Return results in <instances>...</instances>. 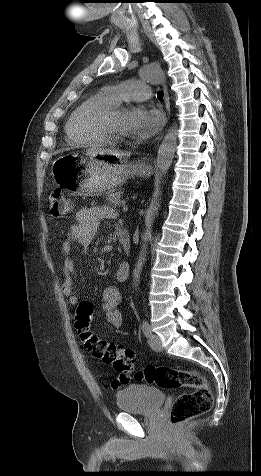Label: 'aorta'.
I'll use <instances>...</instances> for the list:
<instances>
[{
	"mask_svg": "<svg viewBox=\"0 0 261 476\" xmlns=\"http://www.w3.org/2000/svg\"><path fill=\"white\" fill-rule=\"evenodd\" d=\"M141 77L145 81L152 84H161L165 80L163 71L155 65L145 66L141 70ZM177 135L178 132L176 126H172L165 134L164 139L159 146L157 154V168L159 170L160 179L166 175L172 164L177 146ZM158 207L159 204L156 202V205L149 212L146 219V229L142 235L141 250L137 258L135 268L133 269V282L135 287H137L140 282V275L146 261L148 243L152 237V226L155 216L158 212Z\"/></svg>",
	"mask_w": 261,
	"mask_h": 476,
	"instance_id": "aorta-1",
	"label": "aorta"
}]
</instances>
